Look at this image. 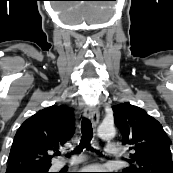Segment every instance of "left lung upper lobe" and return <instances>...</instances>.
<instances>
[{
    "instance_id": "obj_1",
    "label": "left lung upper lobe",
    "mask_w": 173,
    "mask_h": 173,
    "mask_svg": "<svg viewBox=\"0 0 173 173\" xmlns=\"http://www.w3.org/2000/svg\"><path fill=\"white\" fill-rule=\"evenodd\" d=\"M122 142L131 151L122 173H173L169 139L162 125L145 110L121 103L112 107Z\"/></svg>"
}]
</instances>
